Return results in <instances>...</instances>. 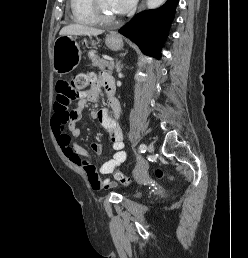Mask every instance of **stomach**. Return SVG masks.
Listing matches in <instances>:
<instances>
[{"mask_svg": "<svg viewBox=\"0 0 248 258\" xmlns=\"http://www.w3.org/2000/svg\"><path fill=\"white\" fill-rule=\"evenodd\" d=\"M108 48L114 51L121 50L123 40L116 33H110L105 39ZM82 52L75 38L63 35L58 37L53 44L52 64L53 69L60 75L70 73L79 64Z\"/></svg>", "mask_w": 248, "mask_h": 258, "instance_id": "0dacf381", "label": "stomach"}]
</instances>
